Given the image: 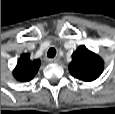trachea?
<instances>
[{
	"label": "trachea",
	"mask_w": 115,
	"mask_h": 114,
	"mask_svg": "<svg viewBox=\"0 0 115 114\" xmlns=\"http://www.w3.org/2000/svg\"><path fill=\"white\" fill-rule=\"evenodd\" d=\"M55 55H56V49H55V48H50V49L48 50V52H47V56H48L49 58H53V57H55Z\"/></svg>",
	"instance_id": "obj_1"
}]
</instances>
